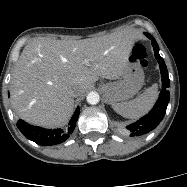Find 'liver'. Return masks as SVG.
Masks as SVG:
<instances>
[{"label":"liver","instance_id":"1","mask_svg":"<svg viewBox=\"0 0 187 187\" xmlns=\"http://www.w3.org/2000/svg\"><path fill=\"white\" fill-rule=\"evenodd\" d=\"M136 39L131 31L98 38H35L23 49L11 80V100L25 121L48 128L65 125L74 109L71 91L85 93L99 77L118 79Z\"/></svg>","mask_w":187,"mask_h":187}]
</instances>
